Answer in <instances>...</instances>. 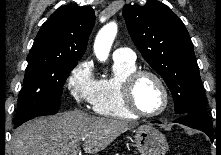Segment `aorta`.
I'll return each mask as SVG.
<instances>
[{
  "mask_svg": "<svg viewBox=\"0 0 221 155\" xmlns=\"http://www.w3.org/2000/svg\"><path fill=\"white\" fill-rule=\"evenodd\" d=\"M116 34L117 25L114 22L107 24L99 31L94 43V52L98 60L105 61L108 58Z\"/></svg>",
  "mask_w": 221,
  "mask_h": 155,
  "instance_id": "762f6f07",
  "label": "aorta"
}]
</instances>
